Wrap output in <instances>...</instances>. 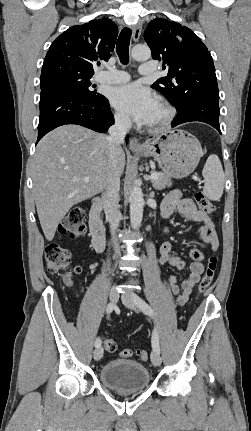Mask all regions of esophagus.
Segmentation results:
<instances>
[{
  "label": "esophagus",
  "instance_id": "1",
  "mask_svg": "<svg viewBox=\"0 0 251 431\" xmlns=\"http://www.w3.org/2000/svg\"><path fill=\"white\" fill-rule=\"evenodd\" d=\"M142 27L140 24H136L132 27V39L137 41L141 35ZM130 149L132 151L142 150L143 145L139 142L138 138L133 137L130 141Z\"/></svg>",
  "mask_w": 251,
  "mask_h": 431
}]
</instances>
